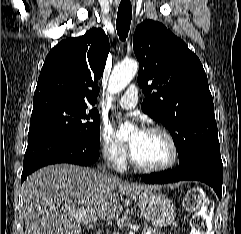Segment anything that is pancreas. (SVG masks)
Listing matches in <instances>:
<instances>
[{
	"mask_svg": "<svg viewBox=\"0 0 241 234\" xmlns=\"http://www.w3.org/2000/svg\"><path fill=\"white\" fill-rule=\"evenodd\" d=\"M146 231H149L151 234H164L161 231H158L156 228H146Z\"/></svg>",
	"mask_w": 241,
	"mask_h": 234,
	"instance_id": "cf45deb5",
	"label": "pancreas"
}]
</instances>
